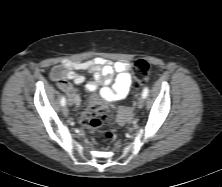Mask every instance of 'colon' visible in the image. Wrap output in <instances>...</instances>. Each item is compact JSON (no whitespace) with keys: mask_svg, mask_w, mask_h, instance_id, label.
<instances>
[{"mask_svg":"<svg viewBox=\"0 0 222 187\" xmlns=\"http://www.w3.org/2000/svg\"><path fill=\"white\" fill-rule=\"evenodd\" d=\"M134 78L139 85L147 82L150 73V63L145 59H139L134 62L133 67ZM124 116H117L122 118ZM108 118L107 101L104 98L93 97L86 109L79 117V124L91 132H99L102 124ZM107 140H113L114 134L110 131L104 132Z\"/></svg>","mask_w":222,"mask_h":187,"instance_id":"colon-1","label":"colon"}]
</instances>
